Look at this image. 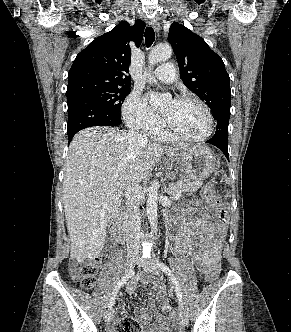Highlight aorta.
I'll return each mask as SVG.
<instances>
[{
  "label": "aorta",
  "mask_w": 291,
  "mask_h": 332,
  "mask_svg": "<svg viewBox=\"0 0 291 332\" xmlns=\"http://www.w3.org/2000/svg\"><path fill=\"white\" fill-rule=\"evenodd\" d=\"M172 56V48L168 44H162L155 46L149 53L148 62L151 66L156 65L161 61H166ZM145 76H148L150 81L155 82L154 78L151 77L149 72L144 73ZM170 98V94L156 93L152 94L150 97L151 105H160L164 101ZM158 189L159 183L157 181L153 182L149 188V195L147 199L146 211L147 216L150 222L152 233H157V205H158Z\"/></svg>",
  "instance_id": "762f6f07"
}]
</instances>
